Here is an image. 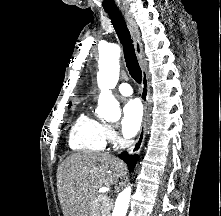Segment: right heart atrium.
Masks as SVG:
<instances>
[{
    "label": "right heart atrium",
    "mask_w": 221,
    "mask_h": 216,
    "mask_svg": "<svg viewBox=\"0 0 221 216\" xmlns=\"http://www.w3.org/2000/svg\"><path fill=\"white\" fill-rule=\"evenodd\" d=\"M105 136H106L107 141H110V142L116 141V139H117L116 130L111 126L106 125L105 126Z\"/></svg>",
    "instance_id": "right-heart-atrium-1"
}]
</instances>
